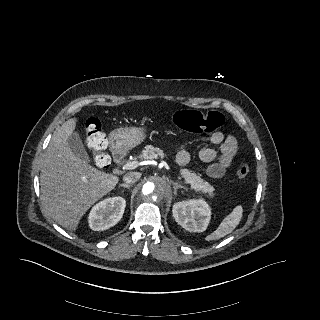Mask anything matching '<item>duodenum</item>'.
I'll list each match as a JSON object with an SVG mask.
<instances>
[{"mask_svg": "<svg viewBox=\"0 0 320 320\" xmlns=\"http://www.w3.org/2000/svg\"><path fill=\"white\" fill-rule=\"evenodd\" d=\"M113 158L116 162H121L125 157L124 149L117 143L112 145Z\"/></svg>", "mask_w": 320, "mask_h": 320, "instance_id": "obj_1", "label": "duodenum"}]
</instances>
